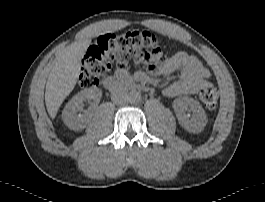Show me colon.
<instances>
[{
	"label": "colon",
	"mask_w": 265,
	"mask_h": 202,
	"mask_svg": "<svg viewBox=\"0 0 265 202\" xmlns=\"http://www.w3.org/2000/svg\"><path fill=\"white\" fill-rule=\"evenodd\" d=\"M161 44V39L148 30L131 29L119 34L100 36L89 47L82 62L78 86L83 89L96 87L114 66L122 70L131 61L152 62L160 54ZM199 97L207 109H216L219 100L216 87L202 90Z\"/></svg>",
	"instance_id": "1"
}]
</instances>
